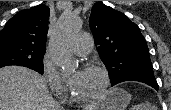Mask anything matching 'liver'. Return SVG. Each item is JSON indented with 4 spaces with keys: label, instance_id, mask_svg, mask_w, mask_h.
<instances>
[{
    "label": "liver",
    "instance_id": "1",
    "mask_svg": "<svg viewBox=\"0 0 171 110\" xmlns=\"http://www.w3.org/2000/svg\"><path fill=\"white\" fill-rule=\"evenodd\" d=\"M95 105L89 106L91 110ZM0 110H61L50 95L46 80L21 66L0 69Z\"/></svg>",
    "mask_w": 171,
    "mask_h": 110
}]
</instances>
